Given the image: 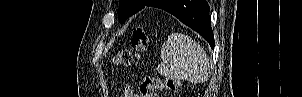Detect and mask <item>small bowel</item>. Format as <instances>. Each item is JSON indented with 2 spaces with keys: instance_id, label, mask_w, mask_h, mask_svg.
Listing matches in <instances>:
<instances>
[{
  "instance_id": "obj_1",
  "label": "small bowel",
  "mask_w": 302,
  "mask_h": 97,
  "mask_svg": "<svg viewBox=\"0 0 302 97\" xmlns=\"http://www.w3.org/2000/svg\"><path fill=\"white\" fill-rule=\"evenodd\" d=\"M125 97H138V95L134 92L131 87H127L125 89Z\"/></svg>"
}]
</instances>
